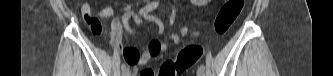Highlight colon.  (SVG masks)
Returning <instances> with one entry per match:
<instances>
[{"label": "colon", "instance_id": "5ec220e1", "mask_svg": "<svg viewBox=\"0 0 333 76\" xmlns=\"http://www.w3.org/2000/svg\"><path fill=\"white\" fill-rule=\"evenodd\" d=\"M245 0H228L219 10L214 29L218 35L226 34L243 11ZM203 48L197 44L185 46L174 58L165 60L158 69V76H177L193 67L201 58ZM141 76H154L151 68H145Z\"/></svg>", "mask_w": 333, "mask_h": 76}]
</instances>
